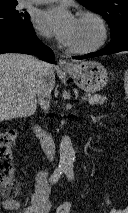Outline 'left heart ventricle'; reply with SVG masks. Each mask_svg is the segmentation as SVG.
Here are the masks:
<instances>
[{"instance_id": "obj_1", "label": "left heart ventricle", "mask_w": 128, "mask_h": 213, "mask_svg": "<svg viewBox=\"0 0 128 213\" xmlns=\"http://www.w3.org/2000/svg\"><path fill=\"white\" fill-rule=\"evenodd\" d=\"M99 38V28L90 19H78L70 47H87L92 45Z\"/></svg>"}]
</instances>
